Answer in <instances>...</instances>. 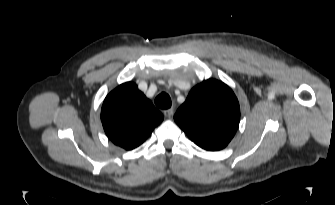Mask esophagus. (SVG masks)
Segmentation results:
<instances>
[{"instance_id": "1", "label": "esophagus", "mask_w": 335, "mask_h": 205, "mask_svg": "<svg viewBox=\"0 0 335 205\" xmlns=\"http://www.w3.org/2000/svg\"><path fill=\"white\" fill-rule=\"evenodd\" d=\"M174 112H175L174 108H170L165 110L163 113L166 118H171L174 115Z\"/></svg>"}]
</instances>
